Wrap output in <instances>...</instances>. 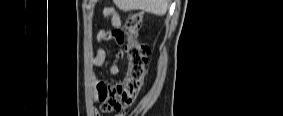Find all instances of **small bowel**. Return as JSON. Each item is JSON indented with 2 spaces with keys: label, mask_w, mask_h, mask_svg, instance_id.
<instances>
[{
  "label": "small bowel",
  "mask_w": 283,
  "mask_h": 116,
  "mask_svg": "<svg viewBox=\"0 0 283 116\" xmlns=\"http://www.w3.org/2000/svg\"><path fill=\"white\" fill-rule=\"evenodd\" d=\"M103 13L105 16H108L111 18V24L113 27L112 31H106L105 29H100L98 33L96 34L95 40L96 43L99 45L96 54L92 57L91 59V64L94 67H101L105 64L106 58H107V51L104 47L101 45L105 42H108L112 39H115L117 43L121 44L118 40V37L116 34L120 31L121 27V19L116 10L113 8H108L105 7L103 9ZM121 51L119 52L118 56L113 59V61L110 63L109 66V73L112 76H117L120 72V67H119V61L121 59ZM95 85H99L98 81H95ZM95 115L97 116L98 113L95 111Z\"/></svg>",
  "instance_id": "obj_1"
}]
</instances>
